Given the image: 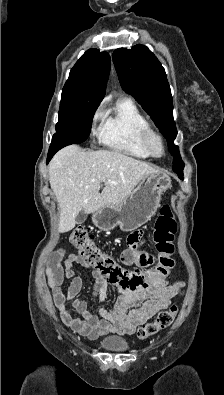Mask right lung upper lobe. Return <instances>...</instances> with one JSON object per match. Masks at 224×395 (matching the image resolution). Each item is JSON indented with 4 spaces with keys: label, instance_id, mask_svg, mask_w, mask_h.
Listing matches in <instances>:
<instances>
[{
    "label": "right lung upper lobe",
    "instance_id": "obj_1",
    "mask_svg": "<svg viewBox=\"0 0 224 395\" xmlns=\"http://www.w3.org/2000/svg\"><path fill=\"white\" fill-rule=\"evenodd\" d=\"M109 72V54L89 49L71 69L63 89L103 99Z\"/></svg>",
    "mask_w": 224,
    "mask_h": 395
}]
</instances>
